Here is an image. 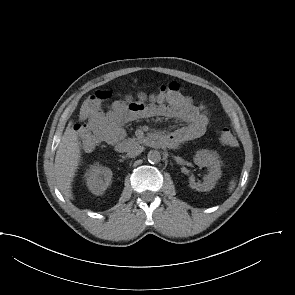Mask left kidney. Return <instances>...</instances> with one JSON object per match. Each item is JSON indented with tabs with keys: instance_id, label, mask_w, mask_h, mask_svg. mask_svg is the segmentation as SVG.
Segmentation results:
<instances>
[{
	"instance_id": "5707ae66",
	"label": "left kidney",
	"mask_w": 295,
	"mask_h": 295,
	"mask_svg": "<svg viewBox=\"0 0 295 295\" xmlns=\"http://www.w3.org/2000/svg\"><path fill=\"white\" fill-rule=\"evenodd\" d=\"M194 163L201 167H207L209 173L204 177L203 183H196L193 176L189 178V185L192 189L205 192L215 187L217 180L221 177V168L218 155L209 150H200L196 153Z\"/></svg>"
}]
</instances>
